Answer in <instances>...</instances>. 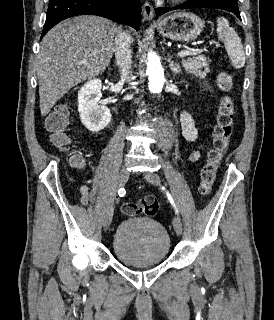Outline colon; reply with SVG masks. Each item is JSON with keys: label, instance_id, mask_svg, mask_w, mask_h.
Here are the masks:
<instances>
[{"label": "colon", "instance_id": "obj_1", "mask_svg": "<svg viewBox=\"0 0 274 320\" xmlns=\"http://www.w3.org/2000/svg\"><path fill=\"white\" fill-rule=\"evenodd\" d=\"M219 85L224 90H229L231 79L227 73L219 76ZM69 113L66 107H57L51 112L46 120V129L50 133V140L56 147L66 149L70 139L65 133L68 126ZM234 131V107L230 97H223L216 116L213 129V144L208 154V160L201 172L199 185L200 195L206 197L210 194L216 172L228 151ZM74 166L81 167L83 159L79 155L71 157ZM121 211L126 216L145 214L153 217L158 211V202L154 198H145L136 203H125Z\"/></svg>", "mask_w": 274, "mask_h": 320}]
</instances>
